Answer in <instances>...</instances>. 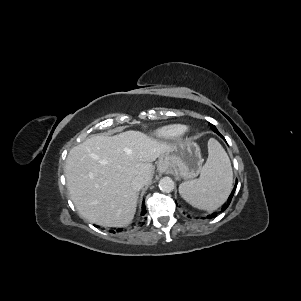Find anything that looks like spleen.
<instances>
[{
    "label": "spleen",
    "mask_w": 301,
    "mask_h": 301,
    "mask_svg": "<svg viewBox=\"0 0 301 301\" xmlns=\"http://www.w3.org/2000/svg\"><path fill=\"white\" fill-rule=\"evenodd\" d=\"M232 183L233 173L229 157L217 140L210 139L208 158L200 177L181 183L179 193L193 207L213 211L226 201Z\"/></svg>",
    "instance_id": "1"
}]
</instances>
